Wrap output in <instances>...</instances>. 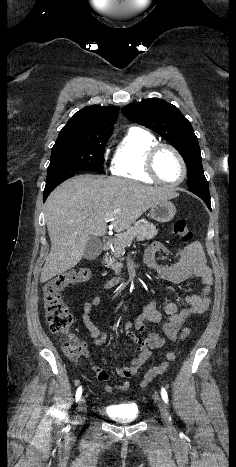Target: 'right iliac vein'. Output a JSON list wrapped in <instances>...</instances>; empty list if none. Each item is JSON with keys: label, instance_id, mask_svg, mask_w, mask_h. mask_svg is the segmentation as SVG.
<instances>
[{"label": "right iliac vein", "instance_id": "1", "mask_svg": "<svg viewBox=\"0 0 236 467\" xmlns=\"http://www.w3.org/2000/svg\"><path fill=\"white\" fill-rule=\"evenodd\" d=\"M85 410H86V401H85V397H82L79 401L78 411L81 413V412H84ZM83 421H84V416L82 414H78L76 418V422L80 424Z\"/></svg>", "mask_w": 236, "mask_h": 467}]
</instances>
